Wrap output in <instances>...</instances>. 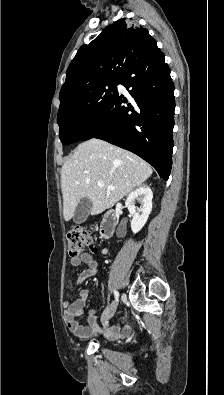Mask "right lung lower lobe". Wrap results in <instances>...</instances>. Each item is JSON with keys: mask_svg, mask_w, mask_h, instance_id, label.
I'll use <instances>...</instances> for the list:
<instances>
[{"mask_svg": "<svg viewBox=\"0 0 224 395\" xmlns=\"http://www.w3.org/2000/svg\"><path fill=\"white\" fill-rule=\"evenodd\" d=\"M120 84L131 98L117 93L83 140L99 138L127 149L167 180L172 166L174 85L157 44L131 65Z\"/></svg>", "mask_w": 224, "mask_h": 395, "instance_id": "98d812e1", "label": "right lung lower lobe"}]
</instances>
